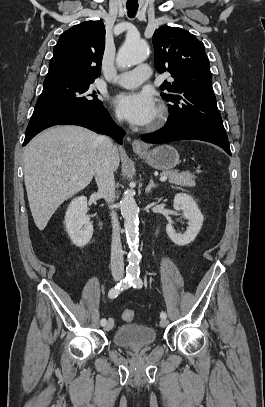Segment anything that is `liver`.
Listing matches in <instances>:
<instances>
[{
    "label": "liver",
    "instance_id": "liver-1",
    "mask_svg": "<svg viewBox=\"0 0 265 407\" xmlns=\"http://www.w3.org/2000/svg\"><path fill=\"white\" fill-rule=\"evenodd\" d=\"M99 136L86 128L62 125L37 135L24 150V182L30 210L42 231L57 208L86 188L95 175ZM120 164L116 147L114 170Z\"/></svg>",
    "mask_w": 265,
    "mask_h": 407
}]
</instances>
